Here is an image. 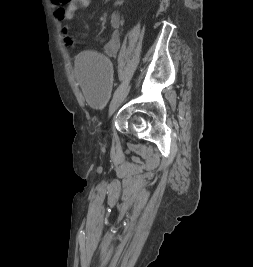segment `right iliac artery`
<instances>
[{"instance_id":"right-iliac-artery-1","label":"right iliac artery","mask_w":253,"mask_h":267,"mask_svg":"<svg viewBox=\"0 0 253 267\" xmlns=\"http://www.w3.org/2000/svg\"><path fill=\"white\" fill-rule=\"evenodd\" d=\"M128 84V77H124L121 85L117 88V90L115 91L114 95H116L118 92H120L124 87H126V85Z\"/></svg>"}]
</instances>
